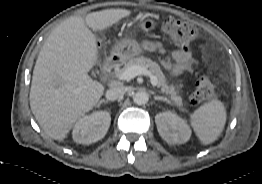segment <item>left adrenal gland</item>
<instances>
[{"label":"left adrenal gland","mask_w":262,"mask_h":184,"mask_svg":"<svg viewBox=\"0 0 262 184\" xmlns=\"http://www.w3.org/2000/svg\"><path fill=\"white\" fill-rule=\"evenodd\" d=\"M153 98H154L155 100H160V101L167 102L168 104H171V102H170L167 98H165V97L154 95Z\"/></svg>","instance_id":"1"}]
</instances>
